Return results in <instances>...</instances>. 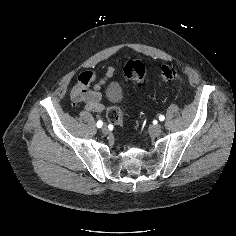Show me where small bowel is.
I'll use <instances>...</instances> for the list:
<instances>
[{
    "label": "small bowel",
    "instance_id": "small-bowel-1",
    "mask_svg": "<svg viewBox=\"0 0 236 236\" xmlns=\"http://www.w3.org/2000/svg\"><path fill=\"white\" fill-rule=\"evenodd\" d=\"M115 69L109 66L101 78H97L91 71H85L79 74L78 82L72 89V99L74 102H85L86 109L90 112H101L104 110L102 100V85L114 75ZM94 82V88L89 89Z\"/></svg>",
    "mask_w": 236,
    "mask_h": 236
}]
</instances>
